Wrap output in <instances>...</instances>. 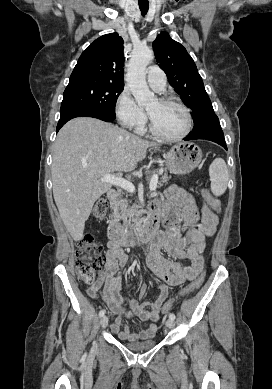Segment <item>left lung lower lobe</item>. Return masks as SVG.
Wrapping results in <instances>:
<instances>
[{
  "mask_svg": "<svg viewBox=\"0 0 272 389\" xmlns=\"http://www.w3.org/2000/svg\"><path fill=\"white\" fill-rule=\"evenodd\" d=\"M206 139L218 143L227 150L224 134L217 116H214L200 127L193 129L186 138L188 140Z\"/></svg>",
  "mask_w": 272,
  "mask_h": 389,
  "instance_id": "1",
  "label": "left lung lower lobe"
}]
</instances>
